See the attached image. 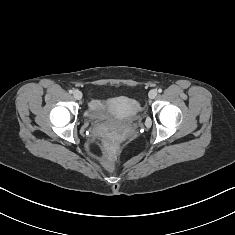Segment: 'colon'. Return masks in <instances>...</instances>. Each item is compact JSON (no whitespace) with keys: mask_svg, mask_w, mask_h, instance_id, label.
I'll return each instance as SVG.
<instances>
[{"mask_svg":"<svg viewBox=\"0 0 235 235\" xmlns=\"http://www.w3.org/2000/svg\"><path fill=\"white\" fill-rule=\"evenodd\" d=\"M108 165L112 166L113 165V162L111 159H108Z\"/></svg>","mask_w":235,"mask_h":235,"instance_id":"colon-1","label":"colon"}]
</instances>
